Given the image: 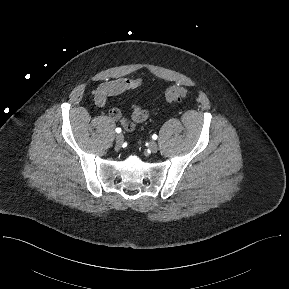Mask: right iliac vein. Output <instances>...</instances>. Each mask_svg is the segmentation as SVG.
Masks as SVG:
<instances>
[{"label":"right iliac vein","instance_id":"obj_1","mask_svg":"<svg viewBox=\"0 0 289 289\" xmlns=\"http://www.w3.org/2000/svg\"><path fill=\"white\" fill-rule=\"evenodd\" d=\"M124 141V136L122 134L116 135V145L121 146Z\"/></svg>","mask_w":289,"mask_h":289}]
</instances>
